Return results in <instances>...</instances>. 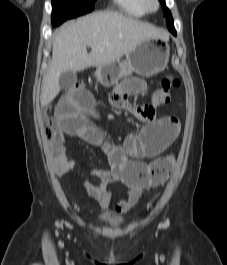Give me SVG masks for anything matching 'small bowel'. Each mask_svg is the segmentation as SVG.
I'll return each instance as SVG.
<instances>
[{
    "mask_svg": "<svg viewBox=\"0 0 227 265\" xmlns=\"http://www.w3.org/2000/svg\"><path fill=\"white\" fill-rule=\"evenodd\" d=\"M118 86L110 97V103L119 112H131L138 116L141 107L132 105L127 95L142 93L145 83L136 77L125 81H114ZM62 99H58V126L51 138L50 150L56 169L61 174H68L75 170L76 163L71 159L64 145L65 136H74L96 146L105 154L109 168H88L90 176L97 179L92 182L82 176L83 186L92 199L107 209L113 200V193L108 186L112 182H121L125 194L116 204L114 211L108 212L105 219L113 221L128 212L139 200L144 189L157 186L164 180L158 181L153 174L156 160L146 163L143 159H153L164 152L179 134L180 125L176 118L165 116L158 121L146 125L139 134L128 135L122 145H116L104 139L102 131L91 124L87 113L96 115L93 104L98 99H92L91 92L86 87H66L62 92Z\"/></svg>",
    "mask_w": 227,
    "mask_h": 265,
    "instance_id": "c3829d8e",
    "label": "small bowel"
}]
</instances>
